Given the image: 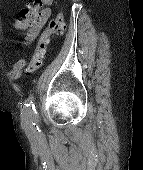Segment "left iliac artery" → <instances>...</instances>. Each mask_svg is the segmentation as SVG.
<instances>
[{"label":"left iliac artery","instance_id":"44dca946","mask_svg":"<svg viewBox=\"0 0 143 170\" xmlns=\"http://www.w3.org/2000/svg\"><path fill=\"white\" fill-rule=\"evenodd\" d=\"M25 105L28 108L26 111V117L29 121L30 128L34 131L40 132L38 124H37L39 117H38V113L35 108L33 98H30Z\"/></svg>","mask_w":143,"mask_h":170}]
</instances>
